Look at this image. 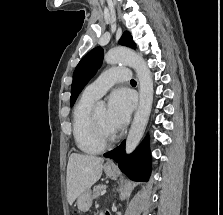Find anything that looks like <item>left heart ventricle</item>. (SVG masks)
Wrapping results in <instances>:
<instances>
[{"mask_svg":"<svg viewBox=\"0 0 223 215\" xmlns=\"http://www.w3.org/2000/svg\"><path fill=\"white\" fill-rule=\"evenodd\" d=\"M95 113L105 139L110 141L114 137L116 130L107 121V110L105 108H100L95 110Z\"/></svg>","mask_w":223,"mask_h":215,"instance_id":"1","label":"left heart ventricle"}]
</instances>
